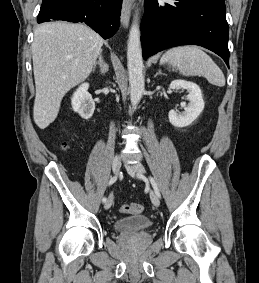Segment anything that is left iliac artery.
<instances>
[{"label":"left iliac artery","instance_id":"1","mask_svg":"<svg viewBox=\"0 0 259 283\" xmlns=\"http://www.w3.org/2000/svg\"><path fill=\"white\" fill-rule=\"evenodd\" d=\"M150 182H151V184H152V187H153V189H154L156 195H157L159 198H161L160 191H159L158 186H157V184H156V182H155V180H154L153 177H150Z\"/></svg>","mask_w":259,"mask_h":283}]
</instances>
